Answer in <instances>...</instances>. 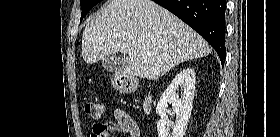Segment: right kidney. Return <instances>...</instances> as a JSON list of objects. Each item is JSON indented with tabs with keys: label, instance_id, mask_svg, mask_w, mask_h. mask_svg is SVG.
Here are the masks:
<instances>
[{
	"label": "right kidney",
	"instance_id": "obj_1",
	"mask_svg": "<svg viewBox=\"0 0 280 137\" xmlns=\"http://www.w3.org/2000/svg\"><path fill=\"white\" fill-rule=\"evenodd\" d=\"M195 72L191 68L183 69L172 80L167 89L163 92L156 107V113L161 117L157 123V131L159 137H170L168 135L166 107L168 103L172 104L173 111L177 115L176 123L173 125V133L171 137H183L189 118L191 116L192 103L195 91ZM181 87L183 95L178 98L176 90Z\"/></svg>",
	"mask_w": 280,
	"mask_h": 137
}]
</instances>
